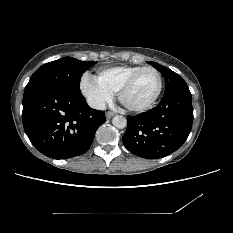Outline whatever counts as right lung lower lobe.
<instances>
[{"label": "right lung lower lobe", "mask_w": 233, "mask_h": 233, "mask_svg": "<svg viewBox=\"0 0 233 233\" xmlns=\"http://www.w3.org/2000/svg\"><path fill=\"white\" fill-rule=\"evenodd\" d=\"M22 121L38 151L53 159H68L89 150L106 118L104 111L88 106L81 92L42 88L24 95Z\"/></svg>", "instance_id": "right-lung-lower-lobe-1"}]
</instances>
